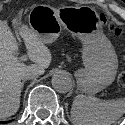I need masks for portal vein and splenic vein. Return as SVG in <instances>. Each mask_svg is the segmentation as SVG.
<instances>
[{"instance_id":"portal-vein-and-splenic-vein-1","label":"portal vein and splenic vein","mask_w":125,"mask_h":125,"mask_svg":"<svg viewBox=\"0 0 125 125\" xmlns=\"http://www.w3.org/2000/svg\"><path fill=\"white\" fill-rule=\"evenodd\" d=\"M20 61H26L27 60V55H23L19 58Z\"/></svg>"}]
</instances>
